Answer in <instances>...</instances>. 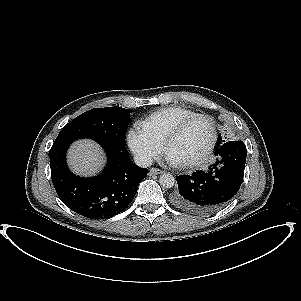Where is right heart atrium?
<instances>
[{
  "label": "right heart atrium",
  "instance_id": "right-heart-atrium-1",
  "mask_svg": "<svg viewBox=\"0 0 301 301\" xmlns=\"http://www.w3.org/2000/svg\"><path fill=\"white\" fill-rule=\"evenodd\" d=\"M130 150L143 164H150L162 152V144L148 135L142 128L133 127L127 134Z\"/></svg>",
  "mask_w": 301,
  "mask_h": 301
}]
</instances>
